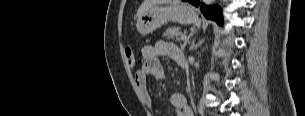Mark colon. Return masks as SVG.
<instances>
[{"label": "colon", "mask_w": 305, "mask_h": 116, "mask_svg": "<svg viewBox=\"0 0 305 116\" xmlns=\"http://www.w3.org/2000/svg\"><path fill=\"white\" fill-rule=\"evenodd\" d=\"M125 56L127 63L130 67L134 65V54L130 46H126L125 48Z\"/></svg>", "instance_id": "colon-1"}]
</instances>
